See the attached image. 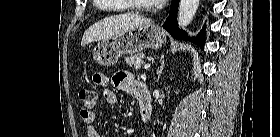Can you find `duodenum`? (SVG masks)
<instances>
[{"label":"duodenum","instance_id":"duodenum-1","mask_svg":"<svg viewBox=\"0 0 280 137\" xmlns=\"http://www.w3.org/2000/svg\"><path fill=\"white\" fill-rule=\"evenodd\" d=\"M137 99L140 105V117L144 123L149 122L153 116V107L150 92L146 84L140 83L137 89Z\"/></svg>","mask_w":280,"mask_h":137}]
</instances>
